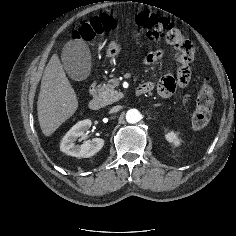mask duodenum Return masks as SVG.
Segmentation results:
<instances>
[{"instance_id": "obj_1", "label": "duodenum", "mask_w": 236, "mask_h": 236, "mask_svg": "<svg viewBox=\"0 0 236 236\" xmlns=\"http://www.w3.org/2000/svg\"><path fill=\"white\" fill-rule=\"evenodd\" d=\"M144 85V84H143ZM139 86L136 90V95L137 96H141L145 93H149V90L144 87V86ZM90 102H89V107L92 110H98L101 107V99L99 97V94L97 92V87H96V83H93L90 87Z\"/></svg>"}]
</instances>
